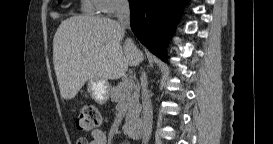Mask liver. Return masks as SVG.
Listing matches in <instances>:
<instances>
[{
	"mask_svg": "<svg viewBox=\"0 0 273 144\" xmlns=\"http://www.w3.org/2000/svg\"><path fill=\"white\" fill-rule=\"evenodd\" d=\"M113 19L79 15L60 24L53 39V63L60 95L73 99L92 79L122 77L128 66H137L143 53Z\"/></svg>",
	"mask_w": 273,
	"mask_h": 144,
	"instance_id": "obj_1",
	"label": "liver"
}]
</instances>
